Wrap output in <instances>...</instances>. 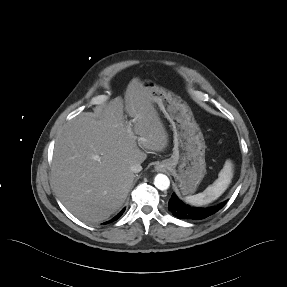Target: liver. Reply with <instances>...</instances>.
Wrapping results in <instances>:
<instances>
[{"mask_svg":"<svg viewBox=\"0 0 287 287\" xmlns=\"http://www.w3.org/2000/svg\"><path fill=\"white\" fill-rule=\"evenodd\" d=\"M124 110L134 120L130 127ZM167 145L158 112L134 78L124 101L115 99L97 114L82 113L63 127L54 148V190L74 216L100 223L124 203L134 180L131 165L142 163L147 150L160 152Z\"/></svg>","mask_w":287,"mask_h":287,"instance_id":"obj_1","label":"liver"}]
</instances>
